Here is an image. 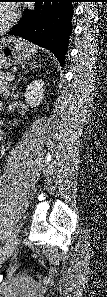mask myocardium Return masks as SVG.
<instances>
[{
    "label": "myocardium",
    "mask_w": 107,
    "mask_h": 297,
    "mask_svg": "<svg viewBox=\"0 0 107 297\" xmlns=\"http://www.w3.org/2000/svg\"><path fill=\"white\" fill-rule=\"evenodd\" d=\"M2 20L0 23V33H4L15 19L16 12L13 6L1 5Z\"/></svg>",
    "instance_id": "1"
}]
</instances>
